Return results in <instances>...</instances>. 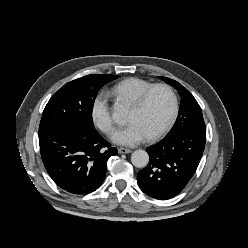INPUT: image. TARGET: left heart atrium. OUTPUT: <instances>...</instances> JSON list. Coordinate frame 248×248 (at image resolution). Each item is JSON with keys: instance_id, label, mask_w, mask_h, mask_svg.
<instances>
[{"instance_id": "obj_1", "label": "left heart atrium", "mask_w": 248, "mask_h": 248, "mask_svg": "<svg viewBox=\"0 0 248 248\" xmlns=\"http://www.w3.org/2000/svg\"><path fill=\"white\" fill-rule=\"evenodd\" d=\"M147 138L148 136L137 123H129L111 136L114 143L127 146L139 144Z\"/></svg>"}]
</instances>
